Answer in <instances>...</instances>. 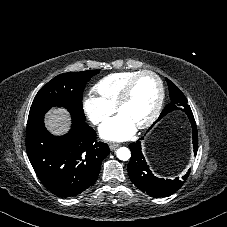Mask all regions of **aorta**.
<instances>
[{
	"label": "aorta",
	"instance_id": "obj_1",
	"mask_svg": "<svg viewBox=\"0 0 227 227\" xmlns=\"http://www.w3.org/2000/svg\"><path fill=\"white\" fill-rule=\"evenodd\" d=\"M116 155H117L118 159H120L122 161H127L131 157V152L128 148L121 147L116 151Z\"/></svg>",
	"mask_w": 227,
	"mask_h": 227
}]
</instances>
